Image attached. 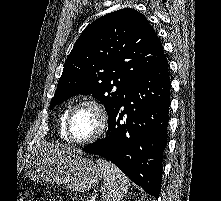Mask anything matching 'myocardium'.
<instances>
[{
    "label": "myocardium",
    "instance_id": "1",
    "mask_svg": "<svg viewBox=\"0 0 221 201\" xmlns=\"http://www.w3.org/2000/svg\"><path fill=\"white\" fill-rule=\"evenodd\" d=\"M82 107H90L95 111V113L98 116V129L95 132V134H93L91 137L83 140H78L72 136L71 121L76 111ZM107 126H108V113L105 107L103 106V104L95 98H85L79 101L78 103H76L75 105H73L69 109L66 117L65 130H66V135L70 142L77 145H85L93 143L96 140H98L105 133Z\"/></svg>",
    "mask_w": 221,
    "mask_h": 201
}]
</instances>
